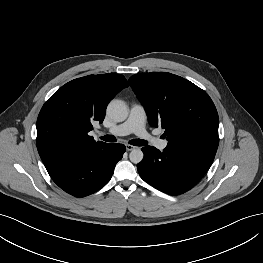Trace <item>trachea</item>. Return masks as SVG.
Returning <instances> with one entry per match:
<instances>
[{"instance_id":"3493384b","label":"trachea","mask_w":263,"mask_h":263,"mask_svg":"<svg viewBox=\"0 0 263 263\" xmlns=\"http://www.w3.org/2000/svg\"><path fill=\"white\" fill-rule=\"evenodd\" d=\"M101 139L103 141H106V142H116V137L113 135H105V136L101 137ZM129 143L134 145V146H144L147 144L146 141L141 140V139H132L129 141Z\"/></svg>"}]
</instances>
